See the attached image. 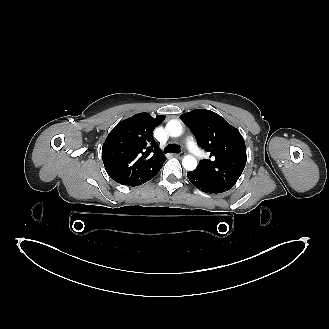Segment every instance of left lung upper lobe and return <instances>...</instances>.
Instances as JSON below:
<instances>
[{
  "label": "left lung upper lobe",
  "mask_w": 329,
  "mask_h": 329,
  "mask_svg": "<svg viewBox=\"0 0 329 329\" xmlns=\"http://www.w3.org/2000/svg\"><path fill=\"white\" fill-rule=\"evenodd\" d=\"M191 128L198 145L210 153L192 171L200 178L226 191L231 189L246 165L245 142L239 130L217 113L196 109L181 115Z\"/></svg>",
  "instance_id": "obj_1"
}]
</instances>
